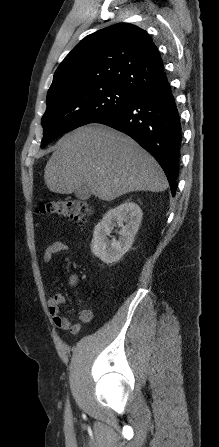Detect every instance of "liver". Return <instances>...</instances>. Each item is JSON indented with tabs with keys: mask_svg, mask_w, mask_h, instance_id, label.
I'll use <instances>...</instances> for the list:
<instances>
[{
	"mask_svg": "<svg viewBox=\"0 0 219 447\" xmlns=\"http://www.w3.org/2000/svg\"><path fill=\"white\" fill-rule=\"evenodd\" d=\"M44 179L51 192L71 194L85 184L104 201L168 187L162 168L149 153L127 135L99 124L65 134L47 162Z\"/></svg>",
	"mask_w": 219,
	"mask_h": 447,
	"instance_id": "1",
	"label": "liver"
}]
</instances>
